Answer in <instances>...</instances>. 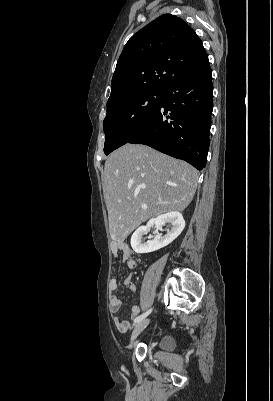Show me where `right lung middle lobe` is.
<instances>
[{
	"instance_id": "dd1d6c3e",
	"label": "right lung middle lobe",
	"mask_w": 273,
	"mask_h": 401,
	"mask_svg": "<svg viewBox=\"0 0 273 401\" xmlns=\"http://www.w3.org/2000/svg\"><path fill=\"white\" fill-rule=\"evenodd\" d=\"M162 98L163 91L148 90L107 105V115L103 122L105 154L126 144L158 108Z\"/></svg>"
}]
</instances>
